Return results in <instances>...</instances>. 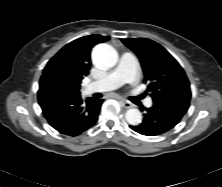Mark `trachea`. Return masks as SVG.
I'll return each mask as SVG.
<instances>
[{
    "instance_id": "1",
    "label": "trachea",
    "mask_w": 222,
    "mask_h": 187,
    "mask_svg": "<svg viewBox=\"0 0 222 187\" xmlns=\"http://www.w3.org/2000/svg\"><path fill=\"white\" fill-rule=\"evenodd\" d=\"M143 97H144V95H140V96H139V99H142Z\"/></svg>"
}]
</instances>
